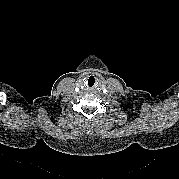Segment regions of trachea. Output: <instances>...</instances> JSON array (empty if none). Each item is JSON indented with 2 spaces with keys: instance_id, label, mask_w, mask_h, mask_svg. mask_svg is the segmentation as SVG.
Here are the masks:
<instances>
[{
  "instance_id": "3493384b",
  "label": "trachea",
  "mask_w": 179,
  "mask_h": 179,
  "mask_svg": "<svg viewBox=\"0 0 179 179\" xmlns=\"http://www.w3.org/2000/svg\"><path fill=\"white\" fill-rule=\"evenodd\" d=\"M87 80H88V81H87V84H88V86H90V87L95 86V84H96V82H97L96 77H94V76H92V75L89 76Z\"/></svg>"
}]
</instances>
